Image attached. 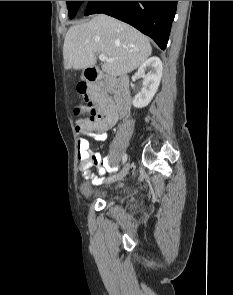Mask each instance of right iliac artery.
Wrapping results in <instances>:
<instances>
[{
  "instance_id": "82829eb1",
  "label": "right iliac artery",
  "mask_w": 233,
  "mask_h": 295,
  "mask_svg": "<svg viewBox=\"0 0 233 295\" xmlns=\"http://www.w3.org/2000/svg\"><path fill=\"white\" fill-rule=\"evenodd\" d=\"M127 161V154H125L124 156H123V163H125ZM114 177V176H113ZM109 179H111V178H109Z\"/></svg>"
}]
</instances>
